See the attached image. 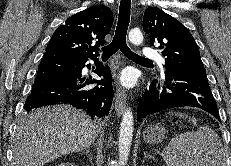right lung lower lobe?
<instances>
[{
	"mask_svg": "<svg viewBox=\"0 0 231 166\" xmlns=\"http://www.w3.org/2000/svg\"><path fill=\"white\" fill-rule=\"evenodd\" d=\"M95 73L107 82L82 77V69L88 58H68L44 54L37 75L27 97L24 109L28 112L54 104H70L87 111L91 116H107L114 96L109 67H104L97 58ZM90 68V65H87ZM91 79V78H90ZM101 83L102 86H89Z\"/></svg>",
	"mask_w": 231,
	"mask_h": 166,
	"instance_id": "obj_1",
	"label": "right lung lower lobe"
}]
</instances>
